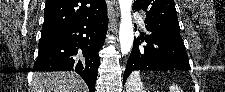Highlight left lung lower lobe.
Returning a JSON list of instances; mask_svg holds the SVG:
<instances>
[{
	"label": "left lung lower lobe",
	"instance_id": "obj_1",
	"mask_svg": "<svg viewBox=\"0 0 225 92\" xmlns=\"http://www.w3.org/2000/svg\"><path fill=\"white\" fill-rule=\"evenodd\" d=\"M150 35L134 38L124 72V83L134 70H189V60L180 33L172 28L146 24ZM147 45H141V42Z\"/></svg>",
	"mask_w": 225,
	"mask_h": 92
}]
</instances>
